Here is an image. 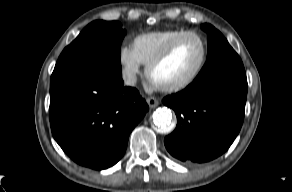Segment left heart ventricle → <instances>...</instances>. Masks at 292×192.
<instances>
[{"mask_svg": "<svg viewBox=\"0 0 292 192\" xmlns=\"http://www.w3.org/2000/svg\"><path fill=\"white\" fill-rule=\"evenodd\" d=\"M201 57V42L196 37H186L166 60L153 69L151 78L158 85L182 81L193 73Z\"/></svg>", "mask_w": 292, "mask_h": 192, "instance_id": "b2bd125f", "label": "left heart ventricle"}]
</instances>
